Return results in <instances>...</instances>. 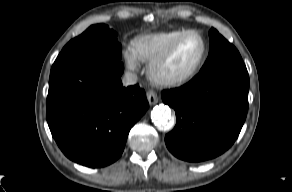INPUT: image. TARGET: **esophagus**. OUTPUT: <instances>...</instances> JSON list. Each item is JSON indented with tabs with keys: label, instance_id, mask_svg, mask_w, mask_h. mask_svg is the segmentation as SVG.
I'll return each instance as SVG.
<instances>
[{
	"label": "esophagus",
	"instance_id": "1",
	"mask_svg": "<svg viewBox=\"0 0 292 192\" xmlns=\"http://www.w3.org/2000/svg\"><path fill=\"white\" fill-rule=\"evenodd\" d=\"M146 95H147V100L149 104L151 105L156 104L159 100L157 93L153 90H149Z\"/></svg>",
	"mask_w": 292,
	"mask_h": 192
}]
</instances>
